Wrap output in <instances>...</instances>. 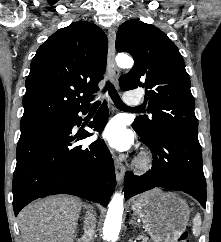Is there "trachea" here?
<instances>
[{"label": "trachea", "mask_w": 221, "mask_h": 242, "mask_svg": "<svg viewBox=\"0 0 221 242\" xmlns=\"http://www.w3.org/2000/svg\"><path fill=\"white\" fill-rule=\"evenodd\" d=\"M108 90V93L110 95V97L112 98L115 106L119 109H122V110H127V111H134V112H140L141 110L139 108H132V107H129L127 106L125 103H123V101L121 100L119 94L117 93L116 89L114 88V86L109 82L107 81L106 82V85L103 89V92L107 91ZM100 105V101H96L93 103L92 106H99Z\"/></svg>", "instance_id": "trachea-1"}]
</instances>
